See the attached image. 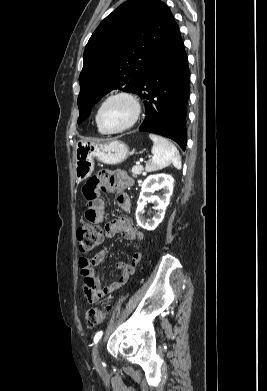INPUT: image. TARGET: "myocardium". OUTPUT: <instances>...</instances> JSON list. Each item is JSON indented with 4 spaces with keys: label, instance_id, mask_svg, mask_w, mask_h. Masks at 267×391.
Instances as JSON below:
<instances>
[{
    "label": "myocardium",
    "instance_id": "1",
    "mask_svg": "<svg viewBox=\"0 0 267 391\" xmlns=\"http://www.w3.org/2000/svg\"><path fill=\"white\" fill-rule=\"evenodd\" d=\"M116 98L126 99L131 104V106L133 108V114H132L130 121L125 126L118 128V129L111 130V129H107L103 126L100 117H101V112H102L103 107L109 101L116 99ZM140 114H141V104H140V101L137 98V96L130 91L119 90V91H115V92L110 93L102 100V102L100 103V105L97 109L95 120H96L97 127L103 133L116 134V133H121V132L127 131L130 128H132L136 124V122L138 121Z\"/></svg>",
    "mask_w": 267,
    "mask_h": 391
}]
</instances>
